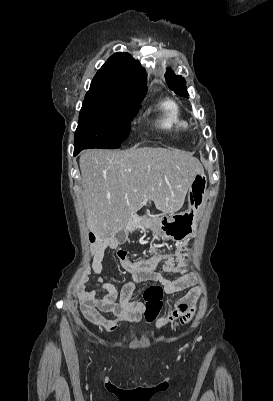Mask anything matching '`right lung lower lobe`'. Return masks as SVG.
<instances>
[{
    "label": "right lung lower lobe",
    "instance_id": "obj_1",
    "mask_svg": "<svg viewBox=\"0 0 273 401\" xmlns=\"http://www.w3.org/2000/svg\"><path fill=\"white\" fill-rule=\"evenodd\" d=\"M82 149H74V156H76Z\"/></svg>",
    "mask_w": 273,
    "mask_h": 401
}]
</instances>
